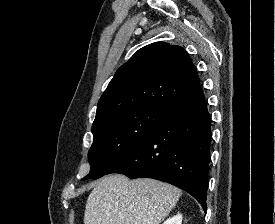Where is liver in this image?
<instances>
[{"label": "liver", "instance_id": "6515ba94", "mask_svg": "<svg viewBox=\"0 0 275 224\" xmlns=\"http://www.w3.org/2000/svg\"><path fill=\"white\" fill-rule=\"evenodd\" d=\"M181 195L178 188L158 180L110 175L91 191L84 224H160Z\"/></svg>", "mask_w": 275, "mask_h": 224}]
</instances>
